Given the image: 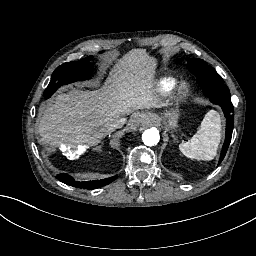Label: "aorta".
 <instances>
[{"instance_id":"762f6f07","label":"aorta","mask_w":256,"mask_h":256,"mask_svg":"<svg viewBox=\"0 0 256 256\" xmlns=\"http://www.w3.org/2000/svg\"><path fill=\"white\" fill-rule=\"evenodd\" d=\"M143 143L147 146H154L160 141L159 131L152 127L147 129L142 134Z\"/></svg>"}]
</instances>
